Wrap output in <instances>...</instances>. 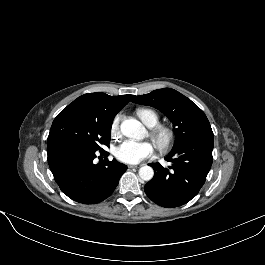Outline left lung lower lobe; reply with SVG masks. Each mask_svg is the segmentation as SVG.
Here are the masks:
<instances>
[{
    "instance_id": "left-lung-lower-lobe-1",
    "label": "left lung lower lobe",
    "mask_w": 265,
    "mask_h": 265,
    "mask_svg": "<svg viewBox=\"0 0 265 265\" xmlns=\"http://www.w3.org/2000/svg\"><path fill=\"white\" fill-rule=\"evenodd\" d=\"M214 146L213 132L198 134L165 158L172 163L167 169L152 163L154 177L145 185L147 196L156 204L172 208L193 199L204 185L211 168Z\"/></svg>"
}]
</instances>
